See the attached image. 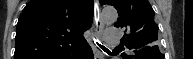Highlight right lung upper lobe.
I'll return each mask as SVG.
<instances>
[{
  "instance_id": "obj_1",
  "label": "right lung upper lobe",
  "mask_w": 193,
  "mask_h": 59,
  "mask_svg": "<svg viewBox=\"0 0 193 59\" xmlns=\"http://www.w3.org/2000/svg\"><path fill=\"white\" fill-rule=\"evenodd\" d=\"M93 0H31L17 24L15 59H67L85 43Z\"/></svg>"
}]
</instances>
